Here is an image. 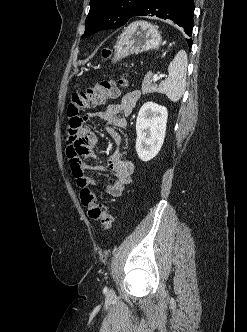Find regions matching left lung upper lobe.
I'll list each match as a JSON object with an SVG mask.
<instances>
[{"label": "left lung upper lobe", "mask_w": 247, "mask_h": 332, "mask_svg": "<svg viewBox=\"0 0 247 332\" xmlns=\"http://www.w3.org/2000/svg\"><path fill=\"white\" fill-rule=\"evenodd\" d=\"M146 0H90L82 38L125 25Z\"/></svg>", "instance_id": "1"}]
</instances>
